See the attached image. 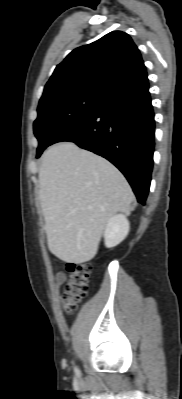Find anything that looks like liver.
<instances>
[{"label":"liver","instance_id":"obj_1","mask_svg":"<svg viewBox=\"0 0 182 399\" xmlns=\"http://www.w3.org/2000/svg\"><path fill=\"white\" fill-rule=\"evenodd\" d=\"M39 200L50 252L80 264L97 254L108 220L132 211L134 194L110 162L65 142L43 155Z\"/></svg>","mask_w":182,"mask_h":399}]
</instances>
